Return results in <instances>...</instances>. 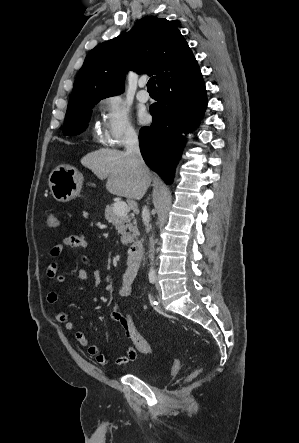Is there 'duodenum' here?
<instances>
[{
  "mask_svg": "<svg viewBox=\"0 0 299 443\" xmlns=\"http://www.w3.org/2000/svg\"><path fill=\"white\" fill-rule=\"evenodd\" d=\"M143 257V244L141 241L133 242L128 248V263L130 265L140 264Z\"/></svg>",
  "mask_w": 299,
  "mask_h": 443,
  "instance_id": "duodenum-1",
  "label": "duodenum"
}]
</instances>
